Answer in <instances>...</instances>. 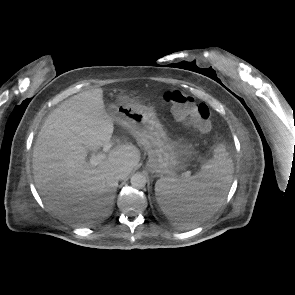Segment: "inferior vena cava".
<instances>
[{
  "label": "inferior vena cava",
  "mask_w": 295,
  "mask_h": 295,
  "mask_svg": "<svg viewBox=\"0 0 295 295\" xmlns=\"http://www.w3.org/2000/svg\"><path fill=\"white\" fill-rule=\"evenodd\" d=\"M128 175V171L125 167H120L116 170V178L118 180L124 179Z\"/></svg>",
  "instance_id": "1"
}]
</instances>
